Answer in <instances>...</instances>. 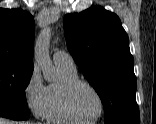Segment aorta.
I'll return each instance as SVG.
<instances>
[{
  "label": "aorta",
  "mask_w": 156,
  "mask_h": 124,
  "mask_svg": "<svg viewBox=\"0 0 156 124\" xmlns=\"http://www.w3.org/2000/svg\"><path fill=\"white\" fill-rule=\"evenodd\" d=\"M50 37L51 30L45 27L39 34L34 47L35 60L41 67L44 78L48 81H52L55 77L49 56Z\"/></svg>",
  "instance_id": "obj_1"
}]
</instances>
